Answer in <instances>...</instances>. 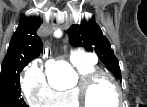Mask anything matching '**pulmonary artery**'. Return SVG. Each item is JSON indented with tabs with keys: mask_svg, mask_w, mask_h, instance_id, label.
Listing matches in <instances>:
<instances>
[{
	"mask_svg": "<svg viewBox=\"0 0 147 107\" xmlns=\"http://www.w3.org/2000/svg\"><path fill=\"white\" fill-rule=\"evenodd\" d=\"M70 60L74 64L79 62L94 61L95 58L92 57L90 54L84 53L83 51L74 50L71 53Z\"/></svg>",
	"mask_w": 147,
	"mask_h": 107,
	"instance_id": "pulmonary-artery-1",
	"label": "pulmonary artery"
}]
</instances>
